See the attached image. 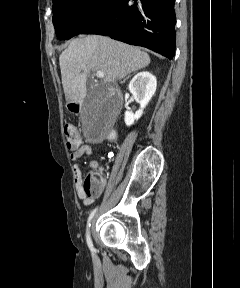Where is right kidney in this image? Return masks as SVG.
<instances>
[{"label": "right kidney", "instance_id": "right-kidney-1", "mask_svg": "<svg viewBox=\"0 0 240 288\" xmlns=\"http://www.w3.org/2000/svg\"><path fill=\"white\" fill-rule=\"evenodd\" d=\"M157 87V80L154 75L148 71L138 73L133 77L129 84V91L132 93L136 102L140 104V109L133 114L131 111L125 112L124 121L127 126H131L135 120H138L144 108L147 106Z\"/></svg>", "mask_w": 240, "mask_h": 288}]
</instances>
